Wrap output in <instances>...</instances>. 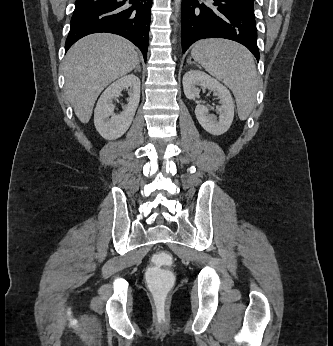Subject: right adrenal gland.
<instances>
[{
  "label": "right adrenal gland",
  "mask_w": 333,
  "mask_h": 346,
  "mask_svg": "<svg viewBox=\"0 0 333 346\" xmlns=\"http://www.w3.org/2000/svg\"><path fill=\"white\" fill-rule=\"evenodd\" d=\"M137 71H141V67H140V64H139V63L137 64V66H136L134 72L136 73Z\"/></svg>",
  "instance_id": "1"
}]
</instances>
